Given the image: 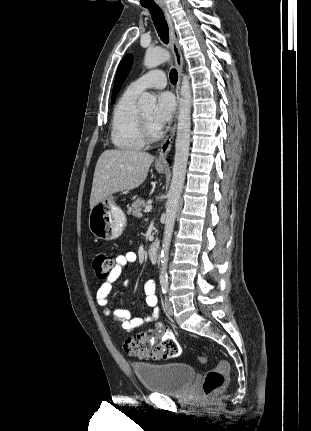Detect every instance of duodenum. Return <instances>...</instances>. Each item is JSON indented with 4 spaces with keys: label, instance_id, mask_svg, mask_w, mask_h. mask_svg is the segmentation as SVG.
<instances>
[{
    "label": "duodenum",
    "instance_id": "obj_1",
    "mask_svg": "<svg viewBox=\"0 0 311 431\" xmlns=\"http://www.w3.org/2000/svg\"><path fill=\"white\" fill-rule=\"evenodd\" d=\"M159 256V243L154 241L148 249V257L152 263H156Z\"/></svg>",
    "mask_w": 311,
    "mask_h": 431
}]
</instances>
